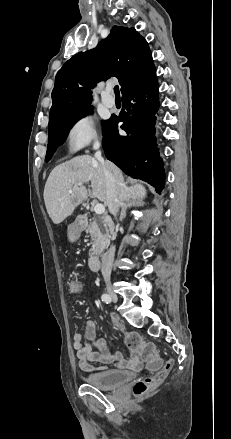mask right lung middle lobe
Masks as SVG:
<instances>
[{
	"instance_id": "right-lung-middle-lobe-1",
	"label": "right lung middle lobe",
	"mask_w": 231,
	"mask_h": 439,
	"mask_svg": "<svg viewBox=\"0 0 231 439\" xmlns=\"http://www.w3.org/2000/svg\"><path fill=\"white\" fill-rule=\"evenodd\" d=\"M92 112H93L92 108L86 109L72 117L66 118L49 127V140L47 146V154L45 158L46 162H48L51 159L57 147L65 141L66 137L68 136L69 130L72 128V126L79 119ZM107 124H108V120L103 121L104 131Z\"/></svg>"
}]
</instances>
